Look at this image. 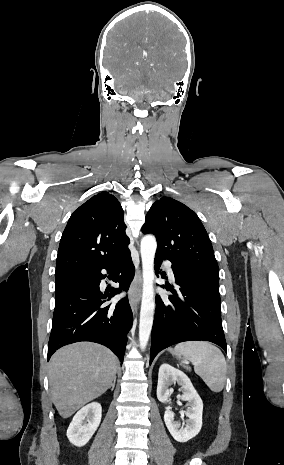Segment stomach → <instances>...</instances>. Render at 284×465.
<instances>
[{
  "label": "stomach",
  "instance_id": "obj_1",
  "mask_svg": "<svg viewBox=\"0 0 284 465\" xmlns=\"http://www.w3.org/2000/svg\"><path fill=\"white\" fill-rule=\"evenodd\" d=\"M174 355H176V353H174ZM178 357H180V355H178Z\"/></svg>",
  "mask_w": 284,
  "mask_h": 465
}]
</instances>
